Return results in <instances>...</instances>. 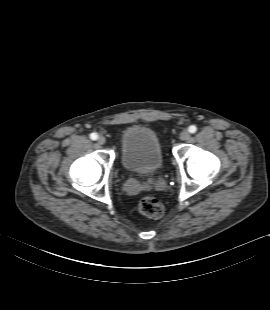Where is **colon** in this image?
<instances>
[{
  "mask_svg": "<svg viewBox=\"0 0 270 310\" xmlns=\"http://www.w3.org/2000/svg\"><path fill=\"white\" fill-rule=\"evenodd\" d=\"M139 211L150 218H160L164 213L163 204L155 197L146 196L138 204Z\"/></svg>",
  "mask_w": 270,
  "mask_h": 310,
  "instance_id": "1",
  "label": "colon"
}]
</instances>
